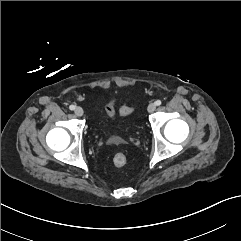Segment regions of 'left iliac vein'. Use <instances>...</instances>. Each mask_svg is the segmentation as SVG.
I'll use <instances>...</instances> for the list:
<instances>
[{"mask_svg": "<svg viewBox=\"0 0 241 241\" xmlns=\"http://www.w3.org/2000/svg\"><path fill=\"white\" fill-rule=\"evenodd\" d=\"M155 109H156V104L155 103H150L148 105L147 110H148L149 113H153L155 111Z\"/></svg>", "mask_w": 241, "mask_h": 241, "instance_id": "4c4485c4", "label": "left iliac vein"}]
</instances>
